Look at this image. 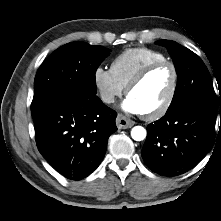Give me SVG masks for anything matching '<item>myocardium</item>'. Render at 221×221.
<instances>
[{"label": "myocardium", "instance_id": "myocardium-1", "mask_svg": "<svg viewBox=\"0 0 221 221\" xmlns=\"http://www.w3.org/2000/svg\"><path fill=\"white\" fill-rule=\"evenodd\" d=\"M161 66H169L172 70V83L168 95L166 96L163 103L156 108L155 110L147 113H143V116L148 120H154L162 117L171 107L173 100L175 98L179 74L176 65L168 60H160L152 62L146 66H144L128 83L126 86V94L129 95L131 91L136 88L153 70L161 67Z\"/></svg>", "mask_w": 221, "mask_h": 221}]
</instances>
